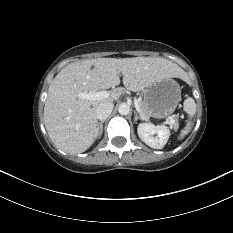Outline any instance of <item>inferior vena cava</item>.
<instances>
[{
	"mask_svg": "<svg viewBox=\"0 0 233 233\" xmlns=\"http://www.w3.org/2000/svg\"><path fill=\"white\" fill-rule=\"evenodd\" d=\"M113 107L114 105L111 102L101 103L96 109L97 119L105 120L111 114Z\"/></svg>",
	"mask_w": 233,
	"mask_h": 233,
	"instance_id": "1",
	"label": "inferior vena cava"
}]
</instances>
